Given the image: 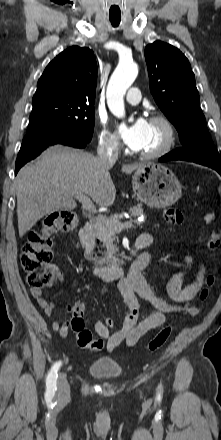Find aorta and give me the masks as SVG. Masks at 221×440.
<instances>
[{
	"instance_id": "1",
	"label": "aorta",
	"mask_w": 221,
	"mask_h": 440,
	"mask_svg": "<svg viewBox=\"0 0 221 440\" xmlns=\"http://www.w3.org/2000/svg\"><path fill=\"white\" fill-rule=\"evenodd\" d=\"M138 75L136 64L120 63L113 72L107 86V104L110 111L118 118L125 115L124 95Z\"/></svg>"
}]
</instances>
